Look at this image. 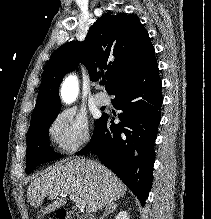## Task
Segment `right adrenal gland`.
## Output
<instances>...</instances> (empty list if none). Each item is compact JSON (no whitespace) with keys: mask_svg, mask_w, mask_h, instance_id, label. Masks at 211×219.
<instances>
[{"mask_svg":"<svg viewBox=\"0 0 211 219\" xmlns=\"http://www.w3.org/2000/svg\"><path fill=\"white\" fill-rule=\"evenodd\" d=\"M117 206H118V205H117L116 203H114V202L108 204V205L106 206L105 211H104V213H103V215L101 216L100 219H104V218H106L109 214L113 213V212L116 210Z\"/></svg>","mask_w":211,"mask_h":219,"instance_id":"2a0ac1e0","label":"right adrenal gland"}]
</instances>
